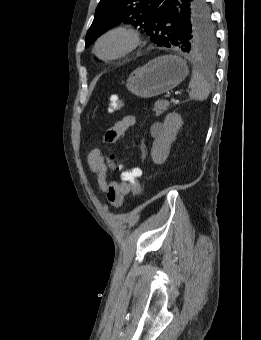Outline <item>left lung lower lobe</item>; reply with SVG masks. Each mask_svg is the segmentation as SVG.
Returning <instances> with one entry per match:
<instances>
[{
	"label": "left lung lower lobe",
	"instance_id": "left-lung-lower-lobe-1",
	"mask_svg": "<svg viewBox=\"0 0 261 340\" xmlns=\"http://www.w3.org/2000/svg\"><path fill=\"white\" fill-rule=\"evenodd\" d=\"M195 5V0H166L159 17L173 25L178 23L181 17H189Z\"/></svg>",
	"mask_w": 261,
	"mask_h": 340
}]
</instances>
